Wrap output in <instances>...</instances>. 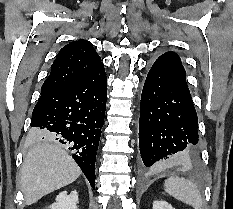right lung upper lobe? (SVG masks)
Masks as SVG:
<instances>
[{
    "mask_svg": "<svg viewBox=\"0 0 233 209\" xmlns=\"http://www.w3.org/2000/svg\"><path fill=\"white\" fill-rule=\"evenodd\" d=\"M103 65L93 45L78 40L65 45L51 66V72L41 88V94L73 83Z\"/></svg>",
    "mask_w": 233,
    "mask_h": 209,
    "instance_id": "obj_1",
    "label": "right lung upper lobe"
}]
</instances>
